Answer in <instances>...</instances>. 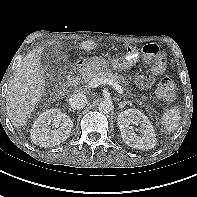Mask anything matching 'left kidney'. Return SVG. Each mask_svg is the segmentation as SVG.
Returning a JSON list of instances; mask_svg holds the SVG:
<instances>
[{
	"mask_svg": "<svg viewBox=\"0 0 197 197\" xmlns=\"http://www.w3.org/2000/svg\"><path fill=\"white\" fill-rule=\"evenodd\" d=\"M118 125L124 142L136 149H151L156 145L153 126L146 115L138 109H128L118 115ZM130 124L140 125L142 136H138Z\"/></svg>",
	"mask_w": 197,
	"mask_h": 197,
	"instance_id": "1",
	"label": "left kidney"
}]
</instances>
